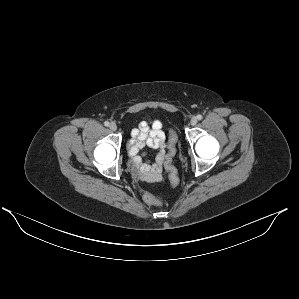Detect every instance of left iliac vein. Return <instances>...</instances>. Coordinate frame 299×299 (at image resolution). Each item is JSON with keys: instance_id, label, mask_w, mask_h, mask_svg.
<instances>
[{"instance_id": "1", "label": "left iliac vein", "mask_w": 299, "mask_h": 299, "mask_svg": "<svg viewBox=\"0 0 299 299\" xmlns=\"http://www.w3.org/2000/svg\"><path fill=\"white\" fill-rule=\"evenodd\" d=\"M197 122H198V120H197V118L194 116V117H192L191 118V120H190V123H191V125H196L197 124Z\"/></svg>"}]
</instances>
